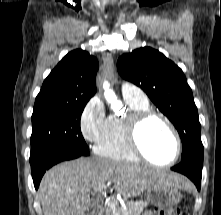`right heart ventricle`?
Returning a JSON list of instances; mask_svg holds the SVG:
<instances>
[{
    "instance_id": "right-heart-ventricle-1",
    "label": "right heart ventricle",
    "mask_w": 221,
    "mask_h": 215,
    "mask_svg": "<svg viewBox=\"0 0 221 215\" xmlns=\"http://www.w3.org/2000/svg\"><path fill=\"white\" fill-rule=\"evenodd\" d=\"M130 113L149 109V102L145 99H133L124 97ZM125 118L111 115L107 118L105 131L96 143L97 154L116 161L136 162L139 160L129 149L125 137Z\"/></svg>"
}]
</instances>
